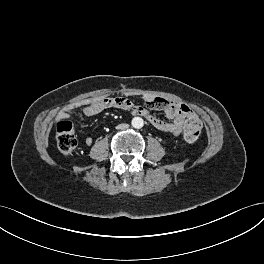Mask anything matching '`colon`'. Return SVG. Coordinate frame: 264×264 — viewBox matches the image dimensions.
<instances>
[{
	"mask_svg": "<svg viewBox=\"0 0 264 264\" xmlns=\"http://www.w3.org/2000/svg\"><path fill=\"white\" fill-rule=\"evenodd\" d=\"M202 131V123L196 117L188 118L183 125V136L186 141L194 142ZM56 139L59 150L63 154H71L77 146L74 126L71 120L62 119L56 126Z\"/></svg>",
	"mask_w": 264,
	"mask_h": 264,
	"instance_id": "obj_1",
	"label": "colon"
}]
</instances>
